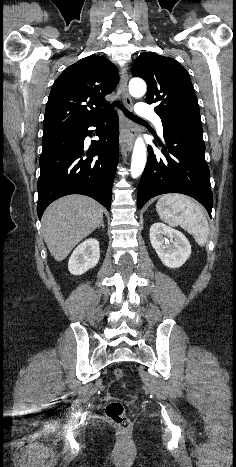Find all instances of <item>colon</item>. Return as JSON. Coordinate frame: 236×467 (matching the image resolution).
I'll list each match as a JSON object with an SVG mask.
<instances>
[{
	"mask_svg": "<svg viewBox=\"0 0 236 467\" xmlns=\"http://www.w3.org/2000/svg\"><path fill=\"white\" fill-rule=\"evenodd\" d=\"M116 379L123 381L124 372L120 368L114 369ZM105 414L107 418L116 424L122 431L126 432L131 428V422L125 415V407L122 402H111L106 406Z\"/></svg>",
	"mask_w": 236,
	"mask_h": 467,
	"instance_id": "obj_1",
	"label": "colon"
}]
</instances>
